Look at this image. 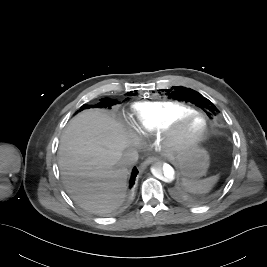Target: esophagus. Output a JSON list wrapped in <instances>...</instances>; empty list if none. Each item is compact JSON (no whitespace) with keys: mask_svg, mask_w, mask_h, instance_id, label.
I'll return each instance as SVG.
<instances>
[{"mask_svg":"<svg viewBox=\"0 0 267 267\" xmlns=\"http://www.w3.org/2000/svg\"><path fill=\"white\" fill-rule=\"evenodd\" d=\"M154 161H155V158H149V159L145 160L144 162L141 163L140 169L144 170L148 165H150Z\"/></svg>","mask_w":267,"mask_h":267,"instance_id":"obj_1","label":"esophagus"}]
</instances>
